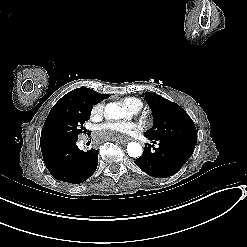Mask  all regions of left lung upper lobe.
I'll return each instance as SVG.
<instances>
[{
    "instance_id": "5c2ea615",
    "label": "left lung upper lobe",
    "mask_w": 247,
    "mask_h": 247,
    "mask_svg": "<svg viewBox=\"0 0 247 247\" xmlns=\"http://www.w3.org/2000/svg\"><path fill=\"white\" fill-rule=\"evenodd\" d=\"M154 124L145 136L153 140H167L195 146L197 131L189 115L176 103L158 94L145 93Z\"/></svg>"
}]
</instances>
